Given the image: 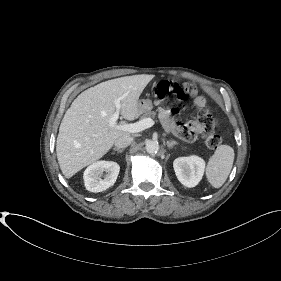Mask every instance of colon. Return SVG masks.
Masks as SVG:
<instances>
[{
    "label": "colon",
    "mask_w": 281,
    "mask_h": 281,
    "mask_svg": "<svg viewBox=\"0 0 281 281\" xmlns=\"http://www.w3.org/2000/svg\"><path fill=\"white\" fill-rule=\"evenodd\" d=\"M197 91L192 82L178 83L174 81H160L154 87V95L159 100H166L169 105L177 104L185 99L187 95H193ZM172 114H178L179 108L173 107ZM199 124L201 134L205 136V143L209 148L215 149L220 146L221 136L215 132L216 119L205 109L199 112Z\"/></svg>",
    "instance_id": "obj_1"
}]
</instances>
